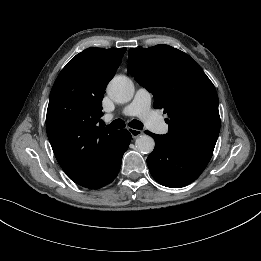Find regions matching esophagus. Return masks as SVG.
<instances>
[{
	"instance_id": "obj_1",
	"label": "esophagus",
	"mask_w": 261,
	"mask_h": 261,
	"mask_svg": "<svg viewBox=\"0 0 261 261\" xmlns=\"http://www.w3.org/2000/svg\"><path fill=\"white\" fill-rule=\"evenodd\" d=\"M129 132H130L132 138H137V137H139V136H141L143 134L142 130L133 129V128H130Z\"/></svg>"
}]
</instances>
